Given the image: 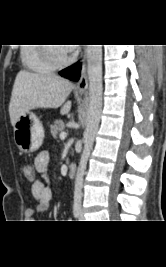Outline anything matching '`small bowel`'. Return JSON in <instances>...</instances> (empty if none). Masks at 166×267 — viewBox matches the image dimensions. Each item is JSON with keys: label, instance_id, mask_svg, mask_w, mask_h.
I'll list each match as a JSON object with an SVG mask.
<instances>
[{"label": "small bowel", "instance_id": "c3829d8e", "mask_svg": "<svg viewBox=\"0 0 166 267\" xmlns=\"http://www.w3.org/2000/svg\"><path fill=\"white\" fill-rule=\"evenodd\" d=\"M49 161L50 154L48 151L40 152L34 159L33 173H38L40 177L32 178L31 191L37 201V205L34 209H28L26 211L25 215L27 218H33L36 213L45 212L50 207L53 189L46 173Z\"/></svg>", "mask_w": 166, "mask_h": 267}]
</instances>
